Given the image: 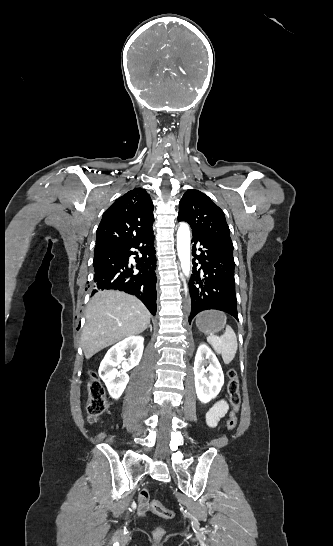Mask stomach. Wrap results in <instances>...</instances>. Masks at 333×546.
<instances>
[{
	"label": "stomach",
	"instance_id": "1",
	"mask_svg": "<svg viewBox=\"0 0 333 546\" xmlns=\"http://www.w3.org/2000/svg\"><path fill=\"white\" fill-rule=\"evenodd\" d=\"M196 325L205 334H215L226 325V318L218 311H205L198 315Z\"/></svg>",
	"mask_w": 333,
	"mask_h": 546
}]
</instances>
